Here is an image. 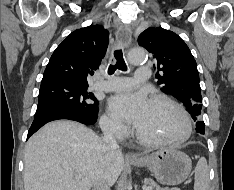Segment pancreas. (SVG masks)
Segmentation results:
<instances>
[{
  "instance_id": "1",
  "label": "pancreas",
  "mask_w": 234,
  "mask_h": 190,
  "mask_svg": "<svg viewBox=\"0 0 234 190\" xmlns=\"http://www.w3.org/2000/svg\"><path fill=\"white\" fill-rule=\"evenodd\" d=\"M145 183L147 185H149L150 187H155L156 190H180L179 188H171V189H169V188H160L158 185H156L154 182H152V181H150L148 179L145 180Z\"/></svg>"
}]
</instances>
